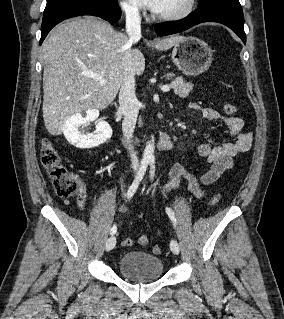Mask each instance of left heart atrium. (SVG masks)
<instances>
[{
	"label": "left heart atrium",
	"mask_w": 284,
	"mask_h": 319,
	"mask_svg": "<svg viewBox=\"0 0 284 319\" xmlns=\"http://www.w3.org/2000/svg\"><path fill=\"white\" fill-rule=\"evenodd\" d=\"M135 2L142 7L155 12L158 9L161 0H135Z\"/></svg>",
	"instance_id": "obj_1"
}]
</instances>
